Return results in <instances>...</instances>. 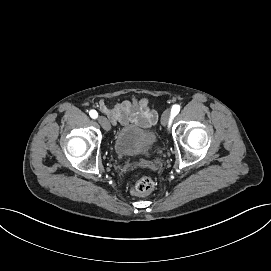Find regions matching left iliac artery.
I'll return each instance as SVG.
<instances>
[{"mask_svg":"<svg viewBox=\"0 0 271 271\" xmlns=\"http://www.w3.org/2000/svg\"><path fill=\"white\" fill-rule=\"evenodd\" d=\"M180 111L179 105H173L171 110V119L175 117ZM173 128V121H168V125L166 126V134L170 135Z\"/></svg>","mask_w":271,"mask_h":271,"instance_id":"44dca946","label":"left iliac artery"}]
</instances>
